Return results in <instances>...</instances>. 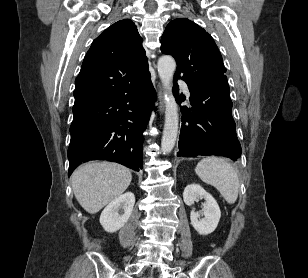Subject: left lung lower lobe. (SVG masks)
Returning a JSON list of instances; mask_svg holds the SVG:
<instances>
[{
  "mask_svg": "<svg viewBox=\"0 0 308 278\" xmlns=\"http://www.w3.org/2000/svg\"><path fill=\"white\" fill-rule=\"evenodd\" d=\"M174 78V95L178 104L184 97ZM192 107H181L182 126L179 137V157L220 155L237 160L241 146L232 117V101L227 77L221 76L195 86H188Z\"/></svg>",
  "mask_w": 308,
  "mask_h": 278,
  "instance_id": "obj_1",
  "label": "left lung lower lobe"
}]
</instances>
